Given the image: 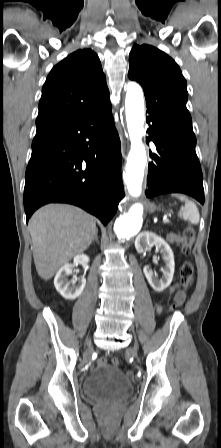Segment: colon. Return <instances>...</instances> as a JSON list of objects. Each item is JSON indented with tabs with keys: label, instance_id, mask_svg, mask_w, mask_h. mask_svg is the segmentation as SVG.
<instances>
[{
	"label": "colon",
	"instance_id": "5ec220e1",
	"mask_svg": "<svg viewBox=\"0 0 221 448\" xmlns=\"http://www.w3.org/2000/svg\"><path fill=\"white\" fill-rule=\"evenodd\" d=\"M194 237H195V233L191 227L187 228L184 231V233L182 235V251L184 254H186V255L190 254L192 243L194 241ZM193 272H194L193 264L190 261L184 262L181 267V279H180L181 289H185L190 284L192 277H193ZM181 303L182 302H181L180 298L178 296H176L170 305V309L171 310L177 309L178 307H180ZM106 363H107V361L105 358H100L98 360L99 365H105ZM119 363H120L119 358L114 357L112 359V364L114 366H118ZM126 374L128 377L132 376L131 371H127Z\"/></svg>",
	"mask_w": 221,
	"mask_h": 448
}]
</instances>
